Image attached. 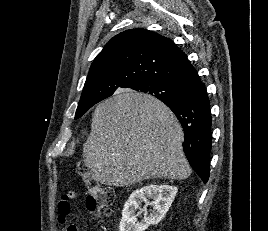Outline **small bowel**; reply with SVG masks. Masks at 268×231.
<instances>
[{"mask_svg": "<svg viewBox=\"0 0 268 231\" xmlns=\"http://www.w3.org/2000/svg\"><path fill=\"white\" fill-rule=\"evenodd\" d=\"M71 213L70 197L64 195L58 203L57 222L59 225L64 226L67 231H80L76 224L69 221Z\"/></svg>", "mask_w": 268, "mask_h": 231, "instance_id": "1", "label": "small bowel"}]
</instances>
